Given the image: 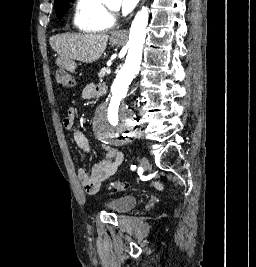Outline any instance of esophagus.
I'll use <instances>...</instances> for the list:
<instances>
[{"mask_svg": "<svg viewBox=\"0 0 256 267\" xmlns=\"http://www.w3.org/2000/svg\"><path fill=\"white\" fill-rule=\"evenodd\" d=\"M144 2H145V0H141V5H143L144 4ZM117 36H126V32H124V31H122V32H118L117 34H116Z\"/></svg>", "mask_w": 256, "mask_h": 267, "instance_id": "34e87169", "label": "esophagus"}]
</instances>
